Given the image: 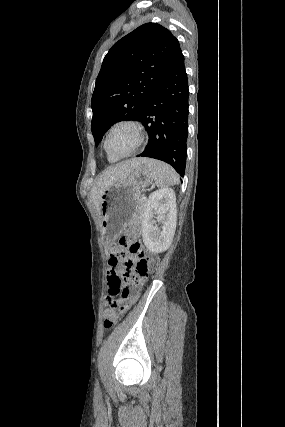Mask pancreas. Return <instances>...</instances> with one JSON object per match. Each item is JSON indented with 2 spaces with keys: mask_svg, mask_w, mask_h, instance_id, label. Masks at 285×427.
Here are the masks:
<instances>
[{
  "mask_svg": "<svg viewBox=\"0 0 285 427\" xmlns=\"http://www.w3.org/2000/svg\"><path fill=\"white\" fill-rule=\"evenodd\" d=\"M145 204H146V200L145 201H142V200L140 201L139 200V204H138V207H137V213H138V215H142L144 207H145Z\"/></svg>",
  "mask_w": 285,
  "mask_h": 427,
  "instance_id": "cf45deb5",
  "label": "pancreas"
}]
</instances>
